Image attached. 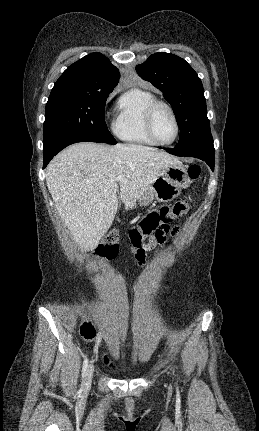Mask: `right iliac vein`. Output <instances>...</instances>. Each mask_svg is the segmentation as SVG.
Instances as JSON below:
<instances>
[{
    "mask_svg": "<svg viewBox=\"0 0 259 431\" xmlns=\"http://www.w3.org/2000/svg\"><path fill=\"white\" fill-rule=\"evenodd\" d=\"M93 373H94V366L93 364H90L88 366L87 372H86V377H85V386L89 387V385L91 384L92 378H93Z\"/></svg>",
    "mask_w": 259,
    "mask_h": 431,
    "instance_id": "obj_1",
    "label": "right iliac vein"
}]
</instances>
